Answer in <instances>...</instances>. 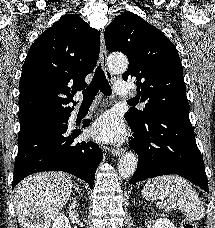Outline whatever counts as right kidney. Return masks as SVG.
<instances>
[{"mask_svg":"<svg viewBox=\"0 0 215 228\" xmlns=\"http://www.w3.org/2000/svg\"><path fill=\"white\" fill-rule=\"evenodd\" d=\"M72 208H79V204L76 200H74L73 204H70V210H72ZM52 228H71V224L65 214H59Z\"/></svg>","mask_w":215,"mask_h":228,"instance_id":"ca27d5eb","label":"right kidney"}]
</instances>
